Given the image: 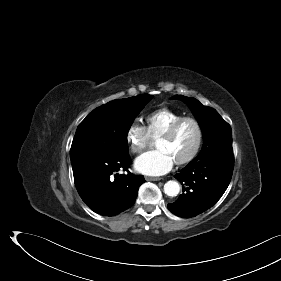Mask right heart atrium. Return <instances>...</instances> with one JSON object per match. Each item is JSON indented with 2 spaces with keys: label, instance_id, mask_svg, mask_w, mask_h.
<instances>
[{
  "label": "right heart atrium",
  "instance_id": "obj_1",
  "mask_svg": "<svg viewBox=\"0 0 281 281\" xmlns=\"http://www.w3.org/2000/svg\"><path fill=\"white\" fill-rule=\"evenodd\" d=\"M126 141L130 151L139 154L151 144L152 138L144 125L134 122L127 129Z\"/></svg>",
  "mask_w": 281,
  "mask_h": 281
}]
</instances>
